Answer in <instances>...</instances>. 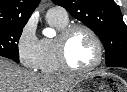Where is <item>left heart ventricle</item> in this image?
Returning <instances> with one entry per match:
<instances>
[{"mask_svg": "<svg viewBox=\"0 0 127 92\" xmlns=\"http://www.w3.org/2000/svg\"><path fill=\"white\" fill-rule=\"evenodd\" d=\"M67 55L73 67L83 69L92 65L96 60L97 48L87 32L78 30L69 40Z\"/></svg>", "mask_w": 127, "mask_h": 92, "instance_id": "left-heart-ventricle-1", "label": "left heart ventricle"}]
</instances>
